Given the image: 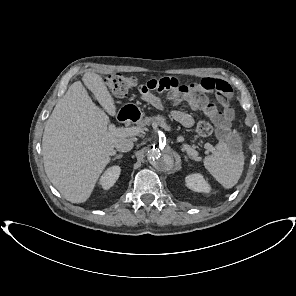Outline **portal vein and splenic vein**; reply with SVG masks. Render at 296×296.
<instances>
[{
  "instance_id": "portal-vein-and-splenic-vein-1",
  "label": "portal vein and splenic vein",
  "mask_w": 296,
  "mask_h": 296,
  "mask_svg": "<svg viewBox=\"0 0 296 296\" xmlns=\"http://www.w3.org/2000/svg\"><path fill=\"white\" fill-rule=\"evenodd\" d=\"M142 130L138 127H127V128H116L114 124L109 125V132L113 135L126 137L135 136L139 134ZM184 150L191 157L197 156V152L188 145H184Z\"/></svg>"
}]
</instances>
